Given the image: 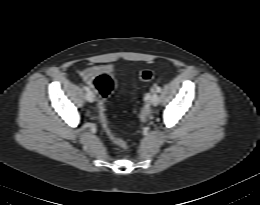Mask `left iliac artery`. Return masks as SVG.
Returning <instances> with one entry per match:
<instances>
[{
  "label": "left iliac artery",
  "mask_w": 260,
  "mask_h": 205,
  "mask_svg": "<svg viewBox=\"0 0 260 205\" xmlns=\"http://www.w3.org/2000/svg\"><path fill=\"white\" fill-rule=\"evenodd\" d=\"M156 92H158V93L161 92V87L157 86L156 87Z\"/></svg>",
  "instance_id": "1"
}]
</instances>
